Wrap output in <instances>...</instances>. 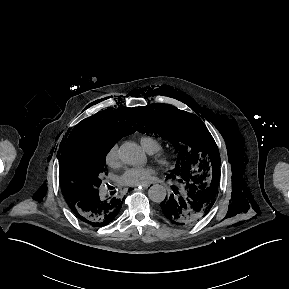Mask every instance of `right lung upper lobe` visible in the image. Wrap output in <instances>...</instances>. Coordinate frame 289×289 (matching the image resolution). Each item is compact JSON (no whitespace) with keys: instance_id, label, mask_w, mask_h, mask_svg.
Wrapping results in <instances>:
<instances>
[{"instance_id":"right-lung-upper-lobe-1","label":"right lung upper lobe","mask_w":289,"mask_h":289,"mask_svg":"<svg viewBox=\"0 0 289 289\" xmlns=\"http://www.w3.org/2000/svg\"><path fill=\"white\" fill-rule=\"evenodd\" d=\"M135 108L120 107L115 110L100 111L92 117L79 122L67 141L61 146L60 183L66 202L73 201L78 195L71 189L67 178L68 162L73 154L101 139L116 136L121 139L123 135L135 132ZM119 139V140H120Z\"/></svg>"}]
</instances>
